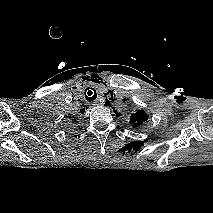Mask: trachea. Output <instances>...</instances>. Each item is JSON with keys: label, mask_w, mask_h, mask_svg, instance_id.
<instances>
[{"label": "trachea", "mask_w": 213, "mask_h": 213, "mask_svg": "<svg viewBox=\"0 0 213 213\" xmlns=\"http://www.w3.org/2000/svg\"><path fill=\"white\" fill-rule=\"evenodd\" d=\"M89 89H91V90H88L87 95L85 94V97H86L87 101L91 102L97 98V93L94 89H92V88H89Z\"/></svg>", "instance_id": "obj_1"}]
</instances>
